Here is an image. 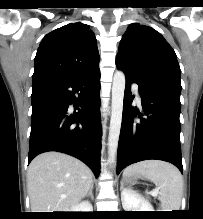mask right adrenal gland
Here are the masks:
<instances>
[{"label":"right adrenal gland","instance_id":"obj_1","mask_svg":"<svg viewBox=\"0 0 203 219\" xmlns=\"http://www.w3.org/2000/svg\"><path fill=\"white\" fill-rule=\"evenodd\" d=\"M93 186H94V184L92 182L91 187L89 189V192L85 196V197H90L92 200L94 199V196H93Z\"/></svg>","mask_w":203,"mask_h":219}]
</instances>
